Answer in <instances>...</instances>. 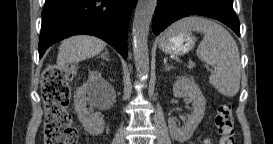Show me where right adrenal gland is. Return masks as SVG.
I'll use <instances>...</instances> for the list:
<instances>
[{
  "instance_id": "2a0ac1e0",
  "label": "right adrenal gland",
  "mask_w": 273,
  "mask_h": 144,
  "mask_svg": "<svg viewBox=\"0 0 273 144\" xmlns=\"http://www.w3.org/2000/svg\"><path fill=\"white\" fill-rule=\"evenodd\" d=\"M108 55H109V53H108V50L106 49V50L101 54V56H99V57H102V58H104L105 60L109 61Z\"/></svg>"
}]
</instances>
